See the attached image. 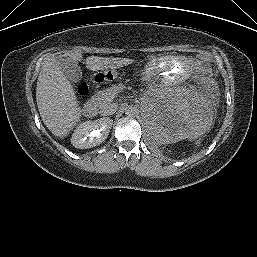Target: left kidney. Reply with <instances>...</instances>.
Returning a JSON list of instances; mask_svg holds the SVG:
<instances>
[{
  "label": "left kidney",
  "instance_id": "1",
  "mask_svg": "<svg viewBox=\"0 0 257 257\" xmlns=\"http://www.w3.org/2000/svg\"><path fill=\"white\" fill-rule=\"evenodd\" d=\"M208 106L191 90L172 88L154 93L143 109L144 126L161 144L196 138L209 128Z\"/></svg>",
  "mask_w": 257,
  "mask_h": 257
}]
</instances>
